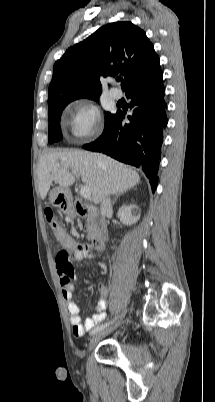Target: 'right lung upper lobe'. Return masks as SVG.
Wrapping results in <instances>:
<instances>
[{
  "instance_id": "right-lung-upper-lobe-1",
  "label": "right lung upper lobe",
  "mask_w": 215,
  "mask_h": 402,
  "mask_svg": "<svg viewBox=\"0 0 215 402\" xmlns=\"http://www.w3.org/2000/svg\"><path fill=\"white\" fill-rule=\"evenodd\" d=\"M122 75L126 94L162 78L159 57L146 33L131 22H114L68 48L54 64L48 104L58 98L101 94L100 79Z\"/></svg>"
}]
</instances>
